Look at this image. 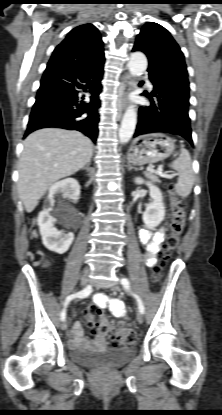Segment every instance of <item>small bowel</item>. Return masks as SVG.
Wrapping results in <instances>:
<instances>
[{
	"label": "small bowel",
	"mask_w": 222,
	"mask_h": 415,
	"mask_svg": "<svg viewBox=\"0 0 222 415\" xmlns=\"http://www.w3.org/2000/svg\"><path fill=\"white\" fill-rule=\"evenodd\" d=\"M164 238L165 230L163 228L157 232H152L148 229H142L140 231L139 239L145 247V262L147 265H153L155 263L156 254ZM94 300L100 307H107L115 317L124 318L126 316V309L121 300L109 298L102 293L97 294ZM72 330L73 339L71 344L73 346L101 349L106 344V338L103 334H98L94 340H87L84 336L82 325L78 321L73 323Z\"/></svg>",
	"instance_id": "obj_1"
}]
</instances>
